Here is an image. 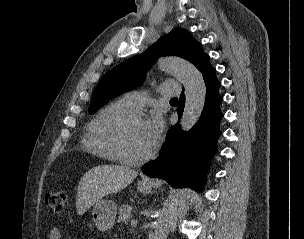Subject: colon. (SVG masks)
I'll return each mask as SVG.
<instances>
[{
    "label": "colon",
    "instance_id": "5ec220e1",
    "mask_svg": "<svg viewBox=\"0 0 304 239\" xmlns=\"http://www.w3.org/2000/svg\"><path fill=\"white\" fill-rule=\"evenodd\" d=\"M68 196L66 192H54L46 195V204L55 212H62L67 204Z\"/></svg>",
    "mask_w": 304,
    "mask_h": 239
}]
</instances>
